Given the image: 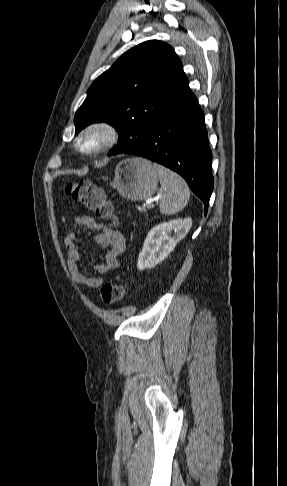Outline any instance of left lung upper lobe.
I'll list each match as a JSON object with an SVG mask.
<instances>
[{
    "mask_svg": "<svg viewBox=\"0 0 287 486\" xmlns=\"http://www.w3.org/2000/svg\"><path fill=\"white\" fill-rule=\"evenodd\" d=\"M189 85L174 49L157 40L124 53L90 86L74 118L76 132L94 122H107L119 133L109 153L140 146L150 129Z\"/></svg>",
    "mask_w": 287,
    "mask_h": 486,
    "instance_id": "obj_1",
    "label": "left lung upper lobe"
}]
</instances>
